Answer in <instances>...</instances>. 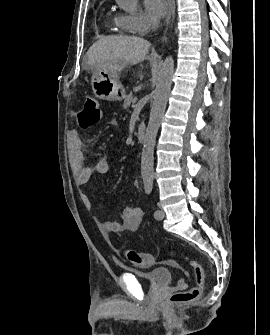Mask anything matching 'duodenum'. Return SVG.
I'll use <instances>...</instances> for the list:
<instances>
[{
  "label": "duodenum",
  "instance_id": "obj_1",
  "mask_svg": "<svg viewBox=\"0 0 270 335\" xmlns=\"http://www.w3.org/2000/svg\"><path fill=\"white\" fill-rule=\"evenodd\" d=\"M145 134H146V130H145V126L144 125H140L137 130H136V138L139 142H143L145 139Z\"/></svg>",
  "mask_w": 270,
  "mask_h": 335
}]
</instances>
